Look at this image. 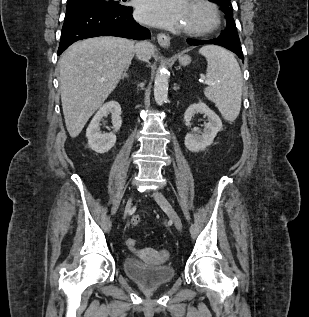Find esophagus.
<instances>
[{
	"instance_id": "34e87169",
	"label": "esophagus",
	"mask_w": 309,
	"mask_h": 317,
	"mask_svg": "<svg viewBox=\"0 0 309 317\" xmlns=\"http://www.w3.org/2000/svg\"><path fill=\"white\" fill-rule=\"evenodd\" d=\"M157 41L160 46L168 48L170 46V37L164 33H159L157 35Z\"/></svg>"
}]
</instances>
